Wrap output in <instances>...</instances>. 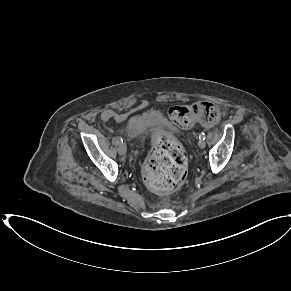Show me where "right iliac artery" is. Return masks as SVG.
I'll list each match as a JSON object with an SVG mask.
<instances>
[{
	"instance_id": "obj_1",
	"label": "right iliac artery",
	"mask_w": 291,
	"mask_h": 291,
	"mask_svg": "<svg viewBox=\"0 0 291 291\" xmlns=\"http://www.w3.org/2000/svg\"><path fill=\"white\" fill-rule=\"evenodd\" d=\"M117 143H118V144L123 143V140H122L121 137H118V138H117Z\"/></svg>"
}]
</instances>
